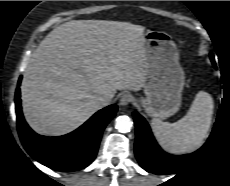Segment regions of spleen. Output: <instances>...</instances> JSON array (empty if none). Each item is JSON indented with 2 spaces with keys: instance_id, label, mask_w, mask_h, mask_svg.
Instances as JSON below:
<instances>
[{
  "instance_id": "1",
  "label": "spleen",
  "mask_w": 230,
  "mask_h": 186,
  "mask_svg": "<svg viewBox=\"0 0 230 186\" xmlns=\"http://www.w3.org/2000/svg\"><path fill=\"white\" fill-rule=\"evenodd\" d=\"M213 98L205 92L197 93L188 113L174 123L159 118L151 121L153 132L163 148L172 153H188L203 145L208 137L213 115Z\"/></svg>"
}]
</instances>
